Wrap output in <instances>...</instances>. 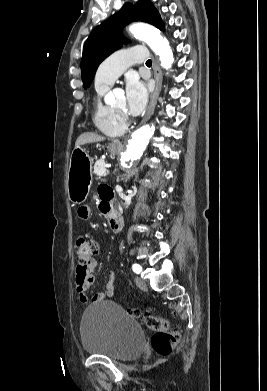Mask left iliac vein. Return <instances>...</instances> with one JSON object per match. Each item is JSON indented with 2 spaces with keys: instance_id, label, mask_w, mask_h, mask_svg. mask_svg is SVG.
<instances>
[{
  "instance_id": "left-iliac-vein-1",
  "label": "left iliac vein",
  "mask_w": 267,
  "mask_h": 391,
  "mask_svg": "<svg viewBox=\"0 0 267 391\" xmlns=\"http://www.w3.org/2000/svg\"><path fill=\"white\" fill-rule=\"evenodd\" d=\"M135 283L140 289H146V282L140 276L135 278Z\"/></svg>"
}]
</instances>
